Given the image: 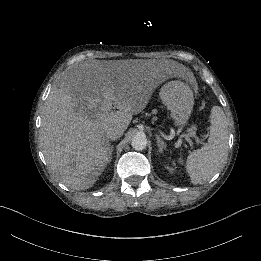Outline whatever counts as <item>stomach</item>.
<instances>
[{"instance_id":"1","label":"stomach","mask_w":261,"mask_h":261,"mask_svg":"<svg viewBox=\"0 0 261 261\" xmlns=\"http://www.w3.org/2000/svg\"><path fill=\"white\" fill-rule=\"evenodd\" d=\"M160 98L171 111L175 125L185 126L194 105V94L190 86L179 80L170 81L161 88Z\"/></svg>"}]
</instances>
